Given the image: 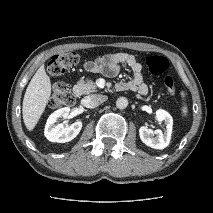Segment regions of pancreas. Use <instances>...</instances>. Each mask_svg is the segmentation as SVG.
I'll return each instance as SVG.
<instances>
[{
	"mask_svg": "<svg viewBox=\"0 0 213 213\" xmlns=\"http://www.w3.org/2000/svg\"><path fill=\"white\" fill-rule=\"evenodd\" d=\"M77 86L81 89L83 94H90L92 92H95L97 90V85L89 79H80L77 82Z\"/></svg>",
	"mask_w": 213,
	"mask_h": 213,
	"instance_id": "1",
	"label": "pancreas"
}]
</instances>
